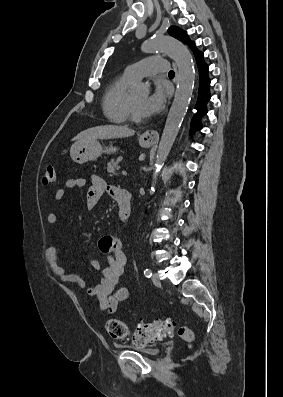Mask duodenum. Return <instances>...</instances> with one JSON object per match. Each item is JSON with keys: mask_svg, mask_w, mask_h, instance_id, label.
Listing matches in <instances>:
<instances>
[{"mask_svg": "<svg viewBox=\"0 0 283 397\" xmlns=\"http://www.w3.org/2000/svg\"><path fill=\"white\" fill-rule=\"evenodd\" d=\"M119 216L122 221H126L131 215V195L124 191L119 202Z\"/></svg>", "mask_w": 283, "mask_h": 397, "instance_id": "duodenum-1", "label": "duodenum"}]
</instances>
